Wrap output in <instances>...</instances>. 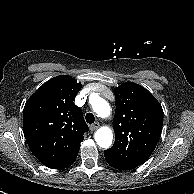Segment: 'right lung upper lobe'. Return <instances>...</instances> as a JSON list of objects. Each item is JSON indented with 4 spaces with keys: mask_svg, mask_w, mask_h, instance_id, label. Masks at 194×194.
Segmentation results:
<instances>
[{
    "mask_svg": "<svg viewBox=\"0 0 194 194\" xmlns=\"http://www.w3.org/2000/svg\"><path fill=\"white\" fill-rule=\"evenodd\" d=\"M82 85L68 75L44 83L26 102L23 131L34 156L51 169L73 164L88 131L73 101Z\"/></svg>",
    "mask_w": 194,
    "mask_h": 194,
    "instance_id": "right-lung-upper-lobe-1",
    "label": "right lung upper lobe"
}]
</instances>
